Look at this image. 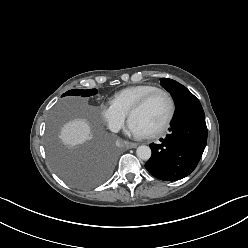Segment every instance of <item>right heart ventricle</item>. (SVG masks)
<instances>
[{"mask_svg":"<svg viewBox=\"0 0 248 248\" xmlns=\"http://www.w3.org/2000/svg\"><path fill=\"white\" fill-rule=\"evenodd\" d=\"M151 84L133 85L116 92L112 97V102L124 112L128 113L130 108L144 95L157 89Z\"/></svg>","mask_w":248,"mask_h":248,"instance_id":"1","label":"right heart ventricle"}]
</instances>
